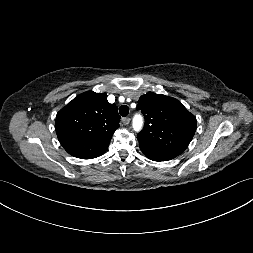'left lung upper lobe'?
<instances>
[{"label": "left lung upper lobe", "instance_id": "1", "mask_svg": "<svg viewBox=\"0 0 253 253\" xmlns=\"http://www.w3.org/2000/svg\"><path fill=\"white\" fill-rule=\"evenodd\" d=\"M145 118L144 129L137 135L139 147L174 156L180 155L196 131V117L177 99L147 93L138 101Z\"/></svg>", "mask_w": 253, "mask_h": 253}]
</instances>
